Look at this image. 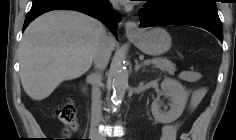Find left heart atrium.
<instances>
[{"instance_id": "left-heart-atrium-1", "label": "left heart atrium", "mask_w": 236, "mask_h": 140, "mask_svg": "<svg viewBox=\"0 0 236 140\" xmlns=\"http://www.w3.org/2000/svg\"><path fill=\"white\" fill-rule=\"evenodd\" d=\"M121 2H127V0H120Z\"/></svg>"}]
</instances>
